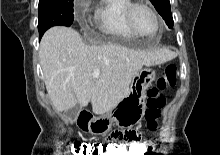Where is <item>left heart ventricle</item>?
<instances>
[{
	"instance_id": "left-heart-ventricle-1",
	"label": "left heart ventricle",
	"mask_w": 220,
	"mask_h": 155,
	"mask_svg": "<svg viewBox=\"0 0 220 155\" xmlns=\"http://www.w3.org/2000/svg\"><path fill=\"white\" fill-rule=\"evenodd\" d=\"M136 28L146 36H153L157 31V23L153 15L143 7L134 11L133 15Z\"/></svg>"
}]
</instances>
